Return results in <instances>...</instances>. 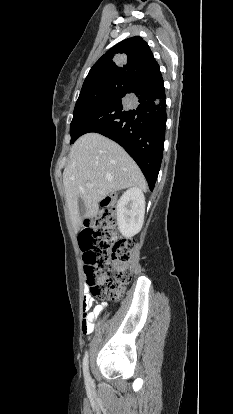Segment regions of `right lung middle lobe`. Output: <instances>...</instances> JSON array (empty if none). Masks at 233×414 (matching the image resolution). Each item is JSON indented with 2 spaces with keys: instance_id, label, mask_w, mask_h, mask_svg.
Listing matches in <instances>:
<instances>
[{
  "instance_id": "right-lung-middle-lobe-1",
  "label": "right lung middle lobe",
  "mask_w": 233,
  "mask_h": 414,
  "mask_svg": "<svg viewBox=\"0 0 233 414\" xmlns=\"http://www.w3.org/2000/svg\"><path fill=\"white\" fill-rule=\"evenodd\" d=\"M132 83L119 77H103L84 84L70 125V144L77 140L80 125L93 111L126 93Z\"/></svg>"
}]
</instances>
